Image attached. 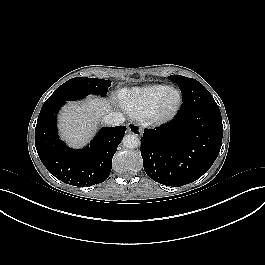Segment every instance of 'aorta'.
<instances>
[{
    "label": "aorta",
    "mask_w": 265,
    "mask_h": 265,
    "mask_svg": "<svg viewBox=\"0 0 265 265\" xmlns=\"http://www.w3.org/2000/svg\"><path fill=\"white\" fill-rule=\"evenodd\" d=\"M123 145L128 149L138 148L141 144L140 138L136 134H127L124 136Z\"/></svg>",
    "instance_id": "762f6f07"
}]
</instances>
